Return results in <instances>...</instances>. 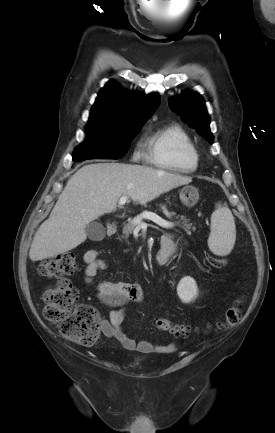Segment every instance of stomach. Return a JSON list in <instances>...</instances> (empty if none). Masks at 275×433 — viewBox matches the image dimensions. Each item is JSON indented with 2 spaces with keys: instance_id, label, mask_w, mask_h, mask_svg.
Returning <instances> with one entry per match:
<instances>
[{
  "instance_id": "stomach-1",
  "label": "stomach",
  "mask_w": 275,
  "mask_h": 433,
  "mask_svg": "<svg viewBox=\"0 0 275 433\" xmlns=\"http://www.w3.org/2000/svg\"><path fill=\"white\" fill-rule=\"evenodd\" d=\"M179 197L185 206L193 207L199 200V192L193 186H185L180 190Z\"/></svg>"
}]
</instances>
